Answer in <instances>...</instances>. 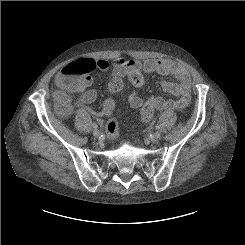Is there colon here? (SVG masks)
I'll list each match as a JSON object with an SVG mask.
<instances>
[{
    "label": "colon",
    "instance_id": "colon-1",
    "mask_svg": "<svg viewBox=\"0 0 245 245\" xmlns=\"http://www.w3.org/2000/svg\"><path fill=\"white\" fill-rule=\"evenodd\" d=\"M95 70H97L95 61L85 57H78L63 67L62 76H60L56 81L57 87L62 91L57 95L60 102L59 113L61 115H66L70 111L64 92L73 93L87 87L89 84V78ZM128 81L132 86L140 88L143 85V76L141 73L134 71L129 75ZM122 86V78L114 77L111 80L110 93L113 94L119 91ZM114 110V101L111 98H107L104 102V113L107 116H111ZM154 112V106L149 102H145L140 108V117L143 121L147 122L151 120ZM106 130L109 135H116L117 124L113 119L108 122Z\"/></svg>",
    "mask_w": 245,
    "mask_h": 245
}]
</instances>
